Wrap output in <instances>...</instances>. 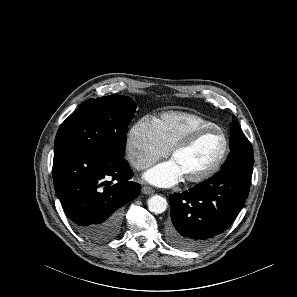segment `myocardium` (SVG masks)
I'll list each match as a JSON object with an SVG mask.
<instances>
[{"label":"myocardium","instance_id":"myocardium-1","mask_svg":"<svg viewBox=\"0 0 297 297\" xmlns=\"http://www.w3.org/2000/svg\"><path fill=\"white\" fill-rule=\"evenodd\" d=\"M207 133H217L222 138L223 150L221 152V155L218 158V160L203 173L194 177L184 178V182L186 184L194 185V184H199L209 180L222 168V166L227 160L229 150H230L229 139L225 134V132L217 126L200 127L189 132L186 136H184L182 139H180L177 143H175L171 147L169 151L170 158H173L180 151L190 147L200 136Z\"/></svg>","mask_w":297,"mask_h":297}]
</instances>
